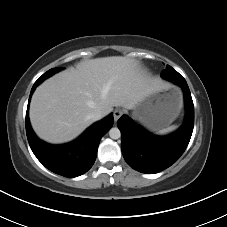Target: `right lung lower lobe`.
Instances as JSON below:
<instances>
[{"label":"right lung lower lobe","mask_w":227,"mask_h":227,"mask_svg":"<svg viewBox=\"0 0 227 227\" xmlns=\"http://www.w3.org/2000/svg\"><path fill=\"white\" fill-rule=\"evenodd\" d=\"M41 82L36 81L30 93ZM29 107V102H28ZM113 115L93 124L79 138L64 145H50L40 140L33 132L28 109L26 113V134L29 145L37 159L50 171L65 176L77 177L87 172L95 162L98 145L103 135L112 127Z\"/></svg>","instance_id":"right-lung-lower-lobe-1"}]
</instances>
